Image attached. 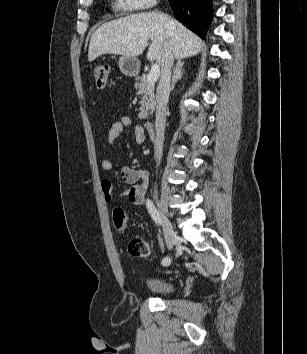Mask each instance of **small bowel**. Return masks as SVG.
I'll list each match as a JSON object with an SVG mask.
<instances>
[{
	"label": "small bowel",
	"instance_id": "c3829d8e",
	"mask_svg": "<svg viewBox=\"0 0 307 354\" xmlns=\"http://www.w3.org/2000/svg\"><path fill=\"white\" fill-rule=\"evenodd\" d=\"M132 126V119L128 116L120 118L113 123L107 134V143L113 145L118 139L120 134L128 127ZM135 141L137 143H143L146 140L144 128L136 124L133 127ZM101 167L105 171H109L113 168V162L111 159L106 158L101 162ZM120 176L125 183L128 184V188L124 191L123 195L129 199L131 203L136 206H143L145 202V194L149 185V174L145 170L134 169L128 166H123L120 169ZM101 189L103 196L107 202H111L114 198L113 185L109 179H103L101 181Z\"/></svg>",
	"mask_w": 307,
	"mask_h": 354
}]
</instances>
